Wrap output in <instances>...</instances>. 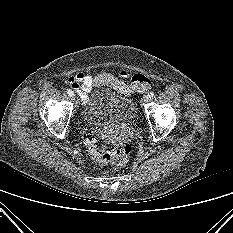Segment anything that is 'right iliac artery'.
<instances>
[{
  "mask_svg": "<svg viewBox=\"0 0 233 233\" xmlns=\"http://www.w3.org/2000/svg\"><path fill=\"white\" fill-rule=\"evenodd\" d=\"M67 93H68L69 96H73L74 95V93H73V91L71 89H67Z\"/></svg>",
  "mask_w": 233,
  "mask_h": 233,
  "instance_id": "obj_1",
  "label": "right iliac artery"
}]
</instances>
